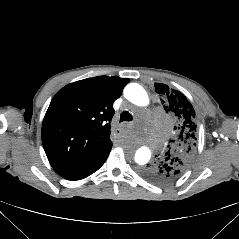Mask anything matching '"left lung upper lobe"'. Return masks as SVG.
Wrapping results in <instances>:
<instances>
[{"mask_svg":"<svg viewBox=\"0 0 239 239\" xmlns=\"http://www.w3.org/2000/svg\"><path fill=\"white\" fill-rule=\"evenodd\" d=\"M155 88L177 131L166 153L141 173L153 183L168 184L178 180L193 160L197 146L196 115L192 104L180 91L161 83H155Z\"/></svg>","mask_w":239,"mask_h":239,"instance_id":"1","label":"left lung upper lobe"}]
</instances>
